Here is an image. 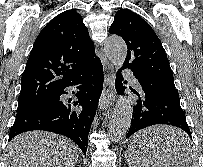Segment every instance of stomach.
I'll list each match as a JSON object with an SVG mask.
<instances>
[{
  "mask_svg": "<svg viewBox=\"0 0 203 167\" xmlns=\"http://www.w3.org/2000/svg\"><path fill=\"white\" fill-rule=\"evenodd\" d=\"M126 157H127V159L129 158V152L128 151H127V156Z\"/></svg>",
  "mask_w": 203,
  "mask_h": 167,
  "instance_id": "obj_1",
  "label": "stomach"
}]
</instances>
